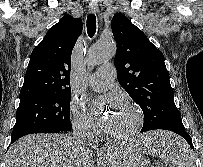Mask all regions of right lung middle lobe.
<instances>
[{
  "mask_svg": "<svg viewBox=\"0 0 203 167\" xmlns=\"http://www.w3.org/2000/svg\"><path fill=\"white\" fill-rule=\"evenodd\" d=\"M70 94L71 91L57 92L20 101L12 140L32 133L71 130Z\"/></svg>",
  "mask_w": 203,
  "mask_h": 167,
  "instance_id": "dd1d6c3e",
  "label": "right lung middle lobe"
}]
</instances>
